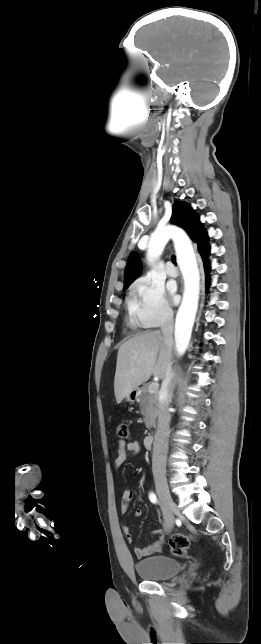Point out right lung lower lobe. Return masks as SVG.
Wrapping results in <instances>:
<instances>
[{
  "label": "right lung lower lobe",
  "mask_w": 261,
  "mask_h": 644,
  "mask_svg": "<svg viewBox=\"0 0 261 644\" xmlns=\"http://www.w3.org/2000/svg\"><path fill=\"white\" fill-rule=\"evenodd\" d=\"M202 259H203L205 274H206V277H208V274L210 271V263L208 261V255L205 257H202ZM207 286H209V280L207 281Z\"/></svg>",
  "instance_id": "98d812e1"
}]
</instances>
